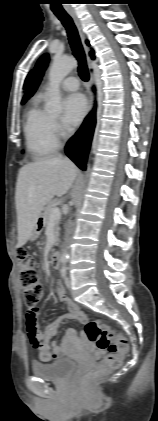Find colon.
I'll return each mask as SVG.
<instances>
[{"label":"colon","mask_w":158,"mask_h":421,"mask_svg":"<svg viewBox=\"0 0 158 421\" xmlns=\"http://www.w3.org/2000/svg\"><path fill=\"white\" fill-rule=\"evenodd\" d=\"M17 260L20 268V281L24 289L27 306L35 311V307L42 293L39 273L35 266L33 256L24 248L17 250ZM83 314V313H82ZM84 335L99 350H106V356L88 373L81 382L84 386L92 385L97 379L107 372L118 368L123 357L128 352L129 345L126 338L100 320H88L83 314ZM54 357L53 353L45 347L39 349V358L49 362Z\"/></svg>","instance_id":"1"}]
</instances>
